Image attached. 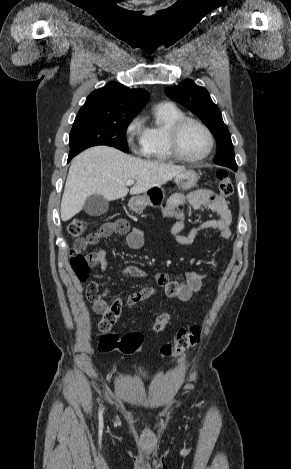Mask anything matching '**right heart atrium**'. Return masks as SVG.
Masks as SVG:
<instances>
[{
  "label": "right heart atrium",
  "instance_id": "right-heart-atrium-1",
  "mask_svg": "<svg viewBox=\"0 0 291 469\" xmlns=\"http://www.w3.org/2000/svg\"><path fill=\"white\" fill-rule=\"evenodd\" d=\"M125 139L128 146L136 152H141L145 140V126L140 115L135 116L126 126Z\"/></svg>",
  "mask_w": 291,
  "mask_h": 469
}]
</instances>
